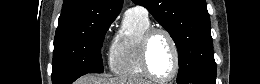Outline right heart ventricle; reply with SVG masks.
<instances>
[{"instance_id":"obj_1","label":"right heart ventricle","mask_w":260,"mask_h":84,"mask_svg":"<svg viewBox=\"0 0 260 84\" xmlns=\"http://www.w3.org/2000/svg\"><path fill=\"white\" fill-rule=\"evenodd\" d=\"M151 27L148 15L140 10L125 13L122 28L110 52V68L124 78L145 77L140 58V42Z\"/></svg>"}]
</instances>
